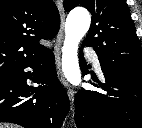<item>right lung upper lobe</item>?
Returning <instances> with one entry per match:
<instances>
[{
	"mask_svg": "<svg viewBox=\"0 0 142 128\" xmlns=\"http://www.w3.org/2000/svg\"><path fill=\"white\" fill-rule=\"evenodd\" d=\"M60 25L52 0H0V80L40 57Z\"/></svg>",
	"mask_w": 142,
	"mask_h": 128,
	"instance_id": "right-lung-upper-lobe-1",
	"label": "right lung upper lobe"
}]
</instances>
